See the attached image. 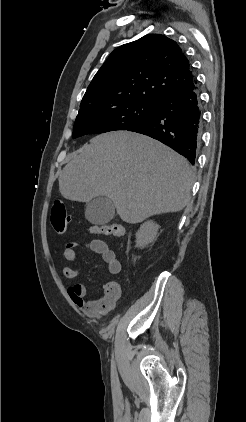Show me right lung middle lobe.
I'll use <instances>...</instances> for the list:
<instances>
[{
    "instance_id": "1",
    "label": "right lung middle lobe",
    "mask_w": 246,
    "mask_h": 422,
    "mask_svg": "<svg viewBox=\"0 0 246 422\" xmlns=\"http://www.w3.org/2000/svg\"><path fill=\"white\" fill-rule=\"evenodd\" d=\"M155 109L156 105L153 102L130 97L100 101L83 106L79 109L75 120L72 137L127 130L131 126L152 117Z\"/></svg>"
}]
</instances>
